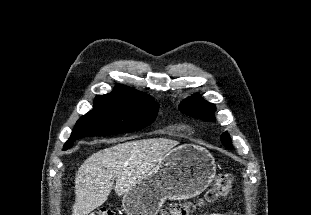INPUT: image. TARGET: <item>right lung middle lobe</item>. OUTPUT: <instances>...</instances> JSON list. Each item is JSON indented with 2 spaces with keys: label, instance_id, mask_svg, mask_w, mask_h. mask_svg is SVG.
Wrapping results in <instances>:
<instances>
[{
  "label": "right lung middle lobe",
  "instance_id": "dd1d6c3e",
  "mask_svg": "<svg viewBox=\"0 0 311 215\" xmlns=\"http://www.w3.org/2000/svg\"><path fill=\"white\" fill-rule=\"evenodd\" d=\"M159 104L155 101H131L112 97H96L94 109L76 123L63 150L75 140L88 136H108L140 130L156 118Z\"/></svg>",
  "mask_w": 311,
  "mask_h": 215
}]
</instances>
